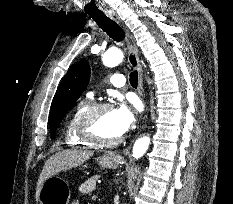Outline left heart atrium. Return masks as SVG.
<instances>
[{"mask_svg":"<svg viewBox=\"0 0 233 204\" xmlns=\"http://www.w3.org/2000/svg\"><path fill=\"white\" fill-rule=\"evenodd\" d=\"M112 116L116 130L120 135L126 133L135 120L134 112L124 104L113 109Z\"/></svg>","mask_w":233,"mask_h":204,"instance_id":"obj_1","label":"left heart atrium"}]
</instances>
